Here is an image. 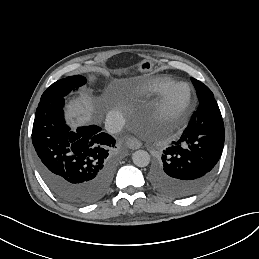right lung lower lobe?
Listing matches in <instances>:
<instances>
[{"label":"right lung lower lobe","mask_w":259,"mask_h":259,"mask_svg":"<svg viewBox=\"0 0 259 259\" xmlns=\"http://www.w3.org/2000/svg\"><path fill=\"white\" fill-rule=\"evenodd\" d=\"M64 97L41 100L36 109L32 143L38 170L64 202L87 205L108 192L114 173L109 151L115 139L92 125L75 132L65 124Z\"/></svg>","instance_id":"98d812e1"}]
</instances>
